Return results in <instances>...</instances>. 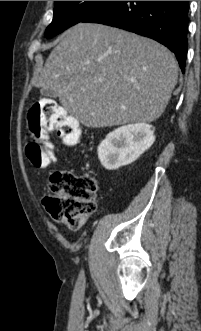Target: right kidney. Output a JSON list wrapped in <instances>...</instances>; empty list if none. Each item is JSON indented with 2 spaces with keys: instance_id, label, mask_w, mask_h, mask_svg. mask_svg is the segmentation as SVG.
<instances>
[{
  "instance_id": "ca27d5eb",
  "label": "right kidney",
  "mask_w": 201,
  "mask_h": 331,
  "mask_svg": "<svg viewBox=\"0 0 201 331\" xmlns=\"http://www.w3.org/2000/svg\"><path fill=\"white\" fill-rule=\"evenodd\" d=\"M155 141L154 129L145 123L129 124L110 132L98 146V158L108 170L131 164Z\"/></svg>"
}]
</instances>
